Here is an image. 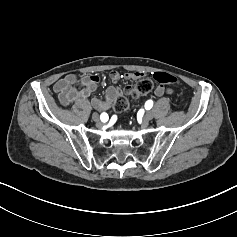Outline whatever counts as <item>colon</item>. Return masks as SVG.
I'll list each match as a JSON object with an SVG mask.
<instances>
[{"mask_svg":"<svg viewBox=\"0 0 237 237\" xmlns=\"http://www.w3.org/2000/svg\"><path fill=\"white\" fill-rule=\"evenodd\" d=\"M154 79L160 84H175L177 78L166 72H156L153 75ZM153 89V82L149 78H143L129 90V94L133 98H139L151 92ZM129 101L126 96H119L114 103V110L116 112H123L128 109Z\"/></svg>","mask_w":237,"mask_h":237,"instance_id":"1","label":"colon"}]
</instances>
